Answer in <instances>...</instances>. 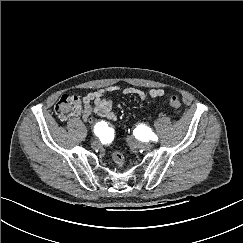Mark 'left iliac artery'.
<instances>
[{
  "label": "left iliac artery",
  "instance_id": "obj_1",
  "mask_svg": "<svg viewBox=\"0 0 243 243\" xmlns=\"http://www.w3.org/2000/svg\"><path fill=\"white\" fill-rule=\"evenodd\" d=\"M135 133H136V131H135ZM149 137H150V140H152V141H158V137H157V135H155V134H149L148 135Z\"/></svg>",
  "mask_w": 243,
  "mask_h": 243
}]
</instances>
